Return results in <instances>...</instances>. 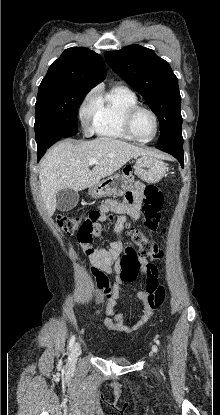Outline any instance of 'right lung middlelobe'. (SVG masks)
Listing matches in <instances>:
<instances>
[{"label":"right lung middle lobe","mask_w":220,"mask_h":415,"mask_svg":"<svg viewBox=\"0 0 220 415\" xmlns=\"http://www.w3.org/2000/svg\"><path fill=\"white\" fill-rule=\"evenodd\" d=\"M89 91L70 86H39L34 125L38 149L49 148L59 139L78 132L77 109Z\"/></svg>","instance_id":"obj_1"}]
</instances>
